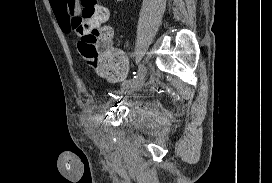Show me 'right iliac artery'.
Returning <instances> with one entry per match:
<instances>
[{"instance_id": "1", "label": "right iliac artery", "mask_w": 272, "mask_h": 183, "mask_svg": "<svg viewBox=\"0 0 272 183\" xmlns=\"http://www.w3.org/2000/svg\"><path fill=\"white\" fill-rule=\"evenodd\" d=\"M141 69L145 70V67L143 65H140L139 68H134V73L132 76H130V80L128 81H137L138 78H140L142 71Z\"/></svg>"}]
</instances>
